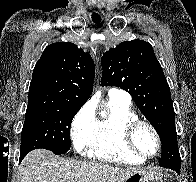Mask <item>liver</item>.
<instances>
[{
	"label": "liver",
	"mask_w": 196,
	"mask_h": 182,
	"mask_svg": "<svg viewBox=\"0 0 196 182\" xmlns=\"http://www.w3.org/2000/svg\"><path fill=\"white\" fill-rule=\"evenodd\" d=\"M138 171L135 167L62 159L38 149L23 159L19 175L20 182H125Z\"/></svg>",
	"instance_id": "obj_1"
}]
</instances>
